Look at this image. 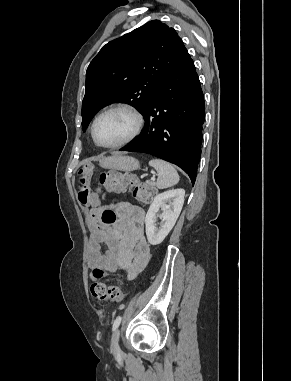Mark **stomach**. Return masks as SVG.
I'll list each match as a JSON object with an SVG mask.
<instances>
[{
  "label": "stomach",
  "instance_id": "stomach-1",
  "mask_svg": "<svg viewBox=\"0 0 291 381\" xmlns=\"http://www.w3.org/2000/svg\"><path fill=\"white\" fill-rule=\"evenodd\" d=\"M100 165L117 171L130 172L139 168V161L131 156L113 155L100 160Z\"/></svg>",
  "mask_w": 291,
  "mask_h": 381
}]
</instances>
